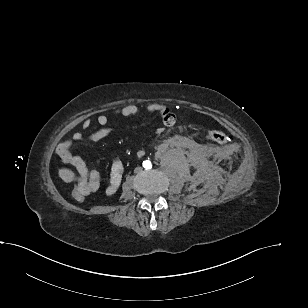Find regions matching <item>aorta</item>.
<instances>
[{
    "mask_svg": "<svg viewBox=\"0 0 308 308\" xmlns=\"http://www.w3.org/2000/svg\"><path fill=\"white\" fill-rule=\"evenodd\" d=\"M151 166H152V165H151V162H150V161H145V162H144V167H145V168H151Z\"/></svg>",
    "mask_w": 308,
    "mask_h": 308,
    "instance_id": "aorta-1",
    "label": "aorta"
}]
</instances>
